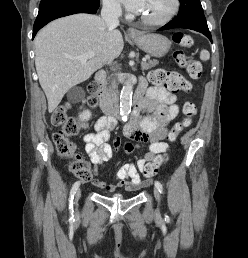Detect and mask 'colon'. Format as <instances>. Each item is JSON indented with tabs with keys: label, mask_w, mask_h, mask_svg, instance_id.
<instances>
[{
	"label": "colon",
	"mask_w": 248,
	"mask_h": 258,
	"mask_svg": "<svg viewBox=\"0 0 248 258\" xmlns=\"http://www.w3.org/2000/svg\"><path fill=\"white\" fill-rule=\"evenodd\" d=\"M173 41L183 47H190L193 40L190 35L183 32H175L172 36ZM175 62L186 69L192 79H199L202 76L203 68L201 63L194 57L186 55L183 51L177 50L174 53ZM151 81L156 85H165L170 91L188 90L186 82L175 72H168L162 69L153 71L150 74ZM90 97L88 105L96 107L98 100L96 97L97 85L92 82L88 85ZM70 109L69 103H63L52 113L51 122L57 127L53 133L52 139L57 153L61 157L71 158L70 170L72 174L83 182H89L92 179V170L89 164L77 154L76 144L70 139L71 136L78 134L86 127V122L81 118H71L67 116ZM183 119L176 123L169 132V139L175 140L176 137L187 128L193 118L197 115V108L193 102L187 101L183 105ZM121 145L119 140L114 141V147L118 149ZM135 150V144H124V157H131ZM163 157H157L144 169L146 179H151L158 171Z\"/></svg>",
	"instance_id": "colon-1"
}]
</instances>
